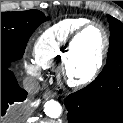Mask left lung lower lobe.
Instances as JSON below:
<instances>
[{
    "label": "left lung lower lobe",
    "mask_w": 123,
    "mask_h": 123,
    "mask_svg": "<svg viewBox=\"0 0 123 123\" xmlns=\"http://www.w3.org/2000/svg\"><path fill=\"white\" fill-rule=\"evenodd\" d=\"M64 102L68 123H123V73L109 80L99 74Z\"/></svg>",
    "instance_id": "0a47b994"
}]
</instances>
